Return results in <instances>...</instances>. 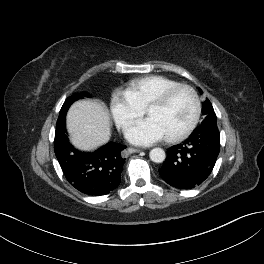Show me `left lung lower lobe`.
Masks as SVG:
<instances>
[{"label":"left lung lower lobe","instance_id":"left-lung-lower-lobe-1","mask_svg":"<svg viewBox=\"0 0 264 264\" xmlns=\"http://www.w3.org/2000/svg\"><path fill=\"white\" fill-rule=\"evenodd\" d=\"M220 150L216 123L198 126L186 141L168 149L159 173L165 182L179 189L199 186L213 170Z\"/></svg>","mask_w":264,"mask_h":264}]
</instances>
